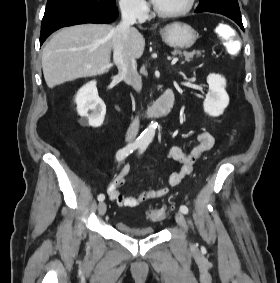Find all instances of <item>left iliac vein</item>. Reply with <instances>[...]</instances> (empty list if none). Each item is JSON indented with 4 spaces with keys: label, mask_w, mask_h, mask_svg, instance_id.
<instances>
[{
    "label": "left iliac vein",
    "mask_w": 280,
    "mask_h": 283,
    "mask_svg": "<svg viewBox=\"0 0 280 283\" xmlns=\"http://www.w3.org/2000/svg\"><path fill=\"white\" fill-rule=\"evenodd\" d=\"M175 220L180 227H182L184 230H187V223L184 215L181 212H177L175 214Z\"/></svg>",
    "instance_id": "obj_1"
}]
</instances>
